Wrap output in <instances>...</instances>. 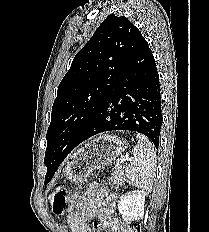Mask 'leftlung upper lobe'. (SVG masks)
<instances>
[{
	"instance_id": "5c2ea615",
	"label": "left lung upper lobe",
	"mask_w": 209,
	"mask_h": 232,
	"mask_svg": "<svg viewBox=\"0 0 209 232\" xmlns=\"http://www.w3.org/2000/svg\"><path fill=\"white\" fill-rule=\"evenodd\" d=\"M141 37L128 18L111 14L74 57L52 107L46 134V182L53 178L79 135L116 86Z\"/></svg>"
}]
</instances>
